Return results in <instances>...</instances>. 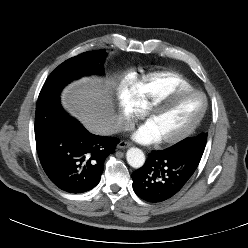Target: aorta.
<instances>
[{
	"label": "aorta",
	"instance_id": "aorta-1",
	"mask_svg": "<svg viewBox=\"0 0 248 248\" xmlns=\"http://www.w3.org/2000/svg\"><path fill=\"white\" fill-rule=\"evenodd\" d=\"M128 164L133 168H140L145 163V155L139 148L132 147L126 153Z\"/></svg>",
	"mask_w": 248,
	"mask_h": 248
}]
</instances>
